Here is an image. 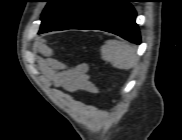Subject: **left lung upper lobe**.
<instances>
[{"label":"left lung upper lobe","mask_w":182,"mask_h":140,"mask_svg":"<svg viewBox=\"0 0 182 140\" xmlns=\"http://www.w3.org/2000/svg\"><path fill=\"white\" fill-rule=\"evenodd\" d=\"M106 0H48L39 33L67 30Z\"/></svg>","instance_id":"obj_1"}]
</instances>
